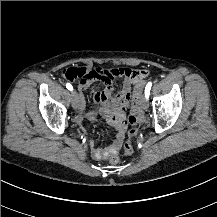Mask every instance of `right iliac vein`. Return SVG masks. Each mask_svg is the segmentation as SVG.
<instances>
[{"label":"right iliac vein","mask_w":217,"mask_h":217,"mask_svg":"<svg viewBox=\"0 0 217 217\" xmlns=\"http://www.w3.org/2000/svg\"><path fill=\"white\" fill-rule=\"evenodd\" d=\"M71 104H72V107H73L74 109H77V108H78V105H79V96H78L77 92H74V93L72 94Z\"/></svg>","instance_id":"63e3f726"}]
</instances>
